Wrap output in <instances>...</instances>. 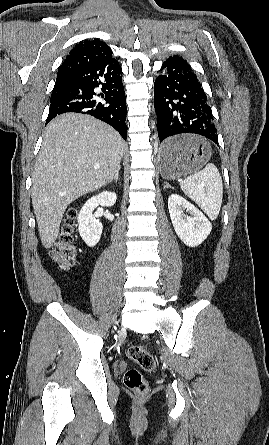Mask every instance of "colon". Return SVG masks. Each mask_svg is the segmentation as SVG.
Instances as JSON below:
<instances>
[{
  "instance_id": "5ec220e1",
  "label": "colon",
  "mask_w": 269,
  "mask_h": 445,
  "mask_svg": "<svg viewBox=\"0 0 269 445\" xmlns=\"http://www.w3.org/2000/svg\"><path fill=\"white\" fill-rule=\"evenodd\" d=\"M77 211L70 209L61 228L58 241L51 250L52 258L62 267L73 264L76 257L74 246V232L76 226ZM129 358L146 372H152L156 367V362L150 351L142 345H134L128 349ZM126 387L136 394L143 395L148 391V383L142 373L136 368L128 369L124 374Z\"/></svg>"
}]
</instances>
